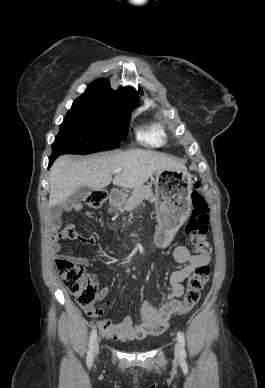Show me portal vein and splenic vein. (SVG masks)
Returning <instances> with one entry per match:
<instances>
[{
	"mask_svg": "<svg viewBox=\"0 0 265 388\" xmlns=\"http://www.w3.org/2000/svg\"><path fill=\"white\" fill-rule=\"evenodd\" d=\"M122 168H115V170H113V174H120Z\"/></svg>",
	"mask_w": 265,
	"mask_h": 388,
	"instance_id": "portal-vein-and-splenic-vein-1",
	"label": "portal vein and splenic vein"
}]
</instances>
